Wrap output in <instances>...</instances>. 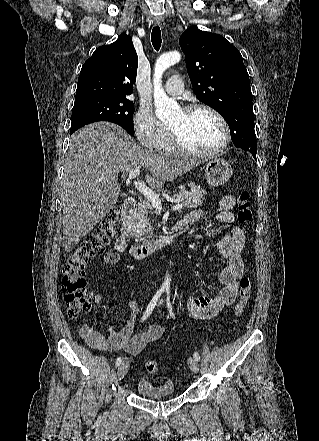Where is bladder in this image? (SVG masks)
<instances>
[{"mask_svg": "<svg viewBox=\"0 0 319 441\" xmlns=\"http://www.w3.org/2000/svg\"><path fill=\"white\" fill-rule=\"evenodd\" d=\"M136 390L142 397L153 399L173 397L176 394L175 384L170 380L155 384L147 379H140L136 383Z\"/></svg>", "mask_w": 319, "mask_h": 441, "instance_id": "bladder-1", "label": "bladder"}]
</instances>
